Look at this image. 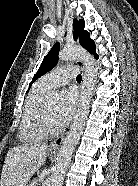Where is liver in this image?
<instances>
[{
  "label": "liver",
  "mask_w": 138,
  "mask_h": 186,
  "mask_svg": "<svg viewBox=\"0 0 138 186\" xmlns=\"http://www.w3.org/2000/svg\"><path fill=\"white\" fill-rule=\"evenodd\" d=\"M46 144H26L11 148L4 161L0 186H26L46 159Z\"/></svg>",
  "instance_id": "liver-1"
}]
</instances>
